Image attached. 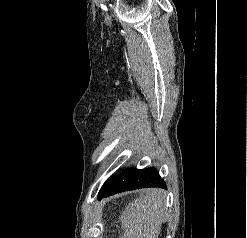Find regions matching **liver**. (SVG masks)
Masks as SVG:
<instances>
[{
    "label": "liver",
    "mask_w": 247,
    "mask_h": 238,
    "mask_svg": "<svg viewBox=\"0 0 247 238\" xmlns=\"http://www.w3.org/2000/svg\"><path fill=\"white\" fill-rule=\"evenodd\" d=\"M165 214L164 192L156 188L145 190L121 214V238H158Z\"/></svg>",
    "instance_id": "6515ba94"
}]
</instances>
